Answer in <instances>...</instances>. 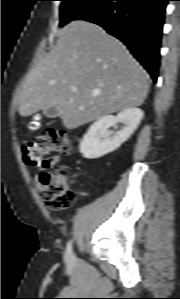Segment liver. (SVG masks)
<instances>
[{"label":"liver","instance_id":"liver-1","mask_svg":"<svg viewBox=\"0 0 180 299\" xmlns=\"http://www.w3.org/2000/svg\"><path fill=\"white\" fill-rule=\"evenodd\" d=\"M148 89L145 70L118 39L98 25L73 21L27 75L18 92L19 114L56 107L63 125L75 129L140 106Z\"/></svg>","mask_w":180,"mask_h":299}]
</instances>
